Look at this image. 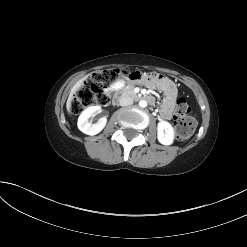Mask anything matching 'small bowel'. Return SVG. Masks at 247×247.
<instances>
[{
	"label": "small bowel",
	"mask_w": 247,
	"mask_h": 247,
	"mask_svg": "<svg viewBox=\"0 0 247 247\" xmlns=\"http://www.w3.org/2000/svg\"><path fill=\"white\" fill-rule=\"evenodd\" d=\"M126 79L131 82H147L148 86L161 90L164 93V99L161 103L160 116L165 120L171 118L177 99V89L171 80L156 72L135 70H128ZM123 85L124 82L119 81L111 87V91L119 90Z\"/></svg>",
	"instance_id": "1"
}]
</instances>
